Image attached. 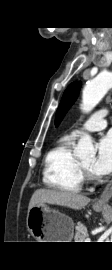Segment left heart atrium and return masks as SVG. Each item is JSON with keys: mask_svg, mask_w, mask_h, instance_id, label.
Wrapping results in <instances>:
<instances>
[{"mask_svg": "<svg viewBox=\"0 0 112 270\" xmlns=\"http://www.w3.org/2000/svg\"><path fill=\"white\" fill-rule=\"evenodd\" d=\"M91 170L98 176L112 172V132L104 135L97 144V157Z\"/></svg>", "mask_w": 112, "mask_h": 270, "instance_id": "39dd6f15", "label": "left heart atrium"}]
</instances>
